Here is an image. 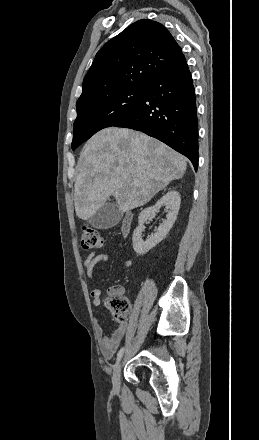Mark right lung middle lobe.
<instances>
[{"label": "right lung middle lobe", "instance_id": "dd1d6c3e", "mask_svg": "<svg viewBox=\"0 0 259 440\" xmlns=\"http://www.w3.org/2000/svg\"><path fill=\"white\" fill-rule=\"evenodd\" d=\"M147 88H128L113 92L77 108L72 150L99 130L111 127L128 116L140 103Z\"/></svg>", "mask_w": 259, "mask_h": 440}]
</instances>
